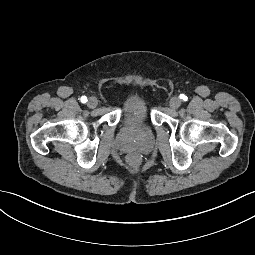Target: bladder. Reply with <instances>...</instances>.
Wrapping results in <instances>:
<instances>
[{
	"label": "bladder",
	"mask_w": 255,
	"mask_h": 255,
	"mask_svg": "<svg viewBox=\"0 0 255 255\" xmlns=\"http://www.w3.org/2000/svg\"><path fill=\"white\" fill-rule=\"evenodd\" d=\"M146 115V104L144 100L138 96H132L124 109V116L127 120H133L136 118H141Z\"/></svg>",
	"instance_id": "31cf9c89"
}]
</instances>
